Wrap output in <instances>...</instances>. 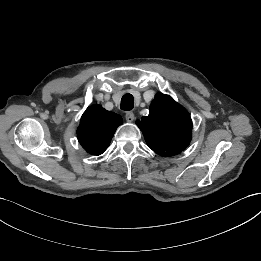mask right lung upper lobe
Returning <instances> with one entry per match:
<instances>
[{"label": "right lung upper lobe", "mask_w": 261, "mask_h": 261, "mask_svg": "<svg viewBox=\"0 0 261 261\" xmlns=\"http://www.w3.org/2000/svg\"><path fill=\"white\" fill-rule=\"evenodd\" d=\"M122 124L118 114L106 111L99 105L88 107L82 115L77 137L90 154H102L110 144L116 128Z\"/></svg>", "instance_id": "obj_1"}]
</instances>
